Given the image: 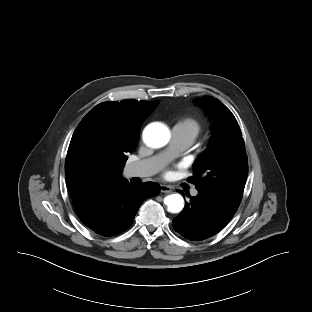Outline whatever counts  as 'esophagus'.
<instances>
[{"instance_id": "34e87169", "label": "esophagus", "mask_w": 312, "mask_h": 312, "mask_svg": "<svg viewBox=\"0 0 312 312\" xmlns=\"http://www.w3.org/2000/svg\"><path fill=\"white\" fill-rule=\"evenodd\" d=\"M160 190L163 193H170L172 191V188L170 186L167 185H160Z\"/></svg>"}]
</instances>
